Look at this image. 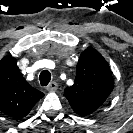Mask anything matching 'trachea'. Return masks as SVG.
<instances>
[{
  "label": "trachea",
  "instance_id": "1",
  "mask_svg": "<svg viewBox=\"0 0 133 133\" xmlns=\"http://www.w3.org/2000/svg\"><path fill=\"white\" fill-rule=\"evenodd\" d=\"M39 80H40L41 86H47L48 83L51 80V74H50V72L48 70L42 71L40 73Z\"/></svg>",
  "mask_w": 133,
  "mask_h": 133
}]
</instances>
